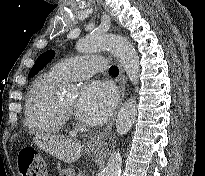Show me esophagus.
Masks as SVG:
<instances>
[{
	"label": "esophagus",
	"mask_w": 205,
	"mask_h": 176,
	"mask_svg": "<svg viewBox=\"0 0 205 176\" xmlns=\"http://www.w3.org/2000/svg\"><path fill=\"white\" fill-rule=\"evenodd\" d=\"M119 70H120V73H119V78H118V84H119V90L121 94V100H123L126 81H125L124 70L121 66H119ZM115 120H116V115L113 117V119L107 125L106 128H104L102 131H100L95 136L89 139V141L87 142V147H91V148L101 147L103 143L105 142V140L108 138L109 134L111 133Z\"/></svg>",
	"instance_id": "1"
}]
</instances>
